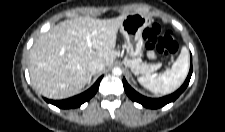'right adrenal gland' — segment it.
<instances>
[{"instance_id":"right-adrenal-gland-1","label":"right adrenal gland","mask_w":225,"mask_h":132,"mask_svg":"<svg viewBox=\"0 0 225 132\" xmlns=\"http://www.w3.org/2000/svg\"><path fill=\"white\" fill-rule=\"evenodd\" d=\"M91 78H92V75H91L90 78H89L88 84L91 82Z\"/></svg>"}]
</instances>
